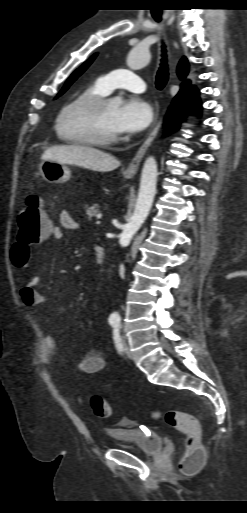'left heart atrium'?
I'll return each instance as SVG.
<instances>
[{"instance_id": "left-heart-atrium-1", "label": "left heart atrium", "mask_w": 247, "mask_h": 513, "mask_svg": "<svg viewBox=\"0 0 247 513\" xmlns=\"http://www.w3.org/2000/svg\"><path fill=\"white\" fill-rule=\"evenodd\" d=\"M153 119L151 105L142 98L132 96L118 108L114 127L118 134L137 133L147 128Z\"/></svg>"}]
</instances>
